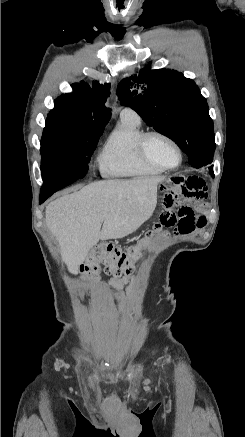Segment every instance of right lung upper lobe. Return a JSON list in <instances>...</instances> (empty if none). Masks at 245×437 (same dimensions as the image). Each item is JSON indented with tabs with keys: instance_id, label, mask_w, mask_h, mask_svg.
I'll list each match as a JSON object with an SVG mask.
<instances>
[{
	"instance_id": "1",
	"label": "right lung upper lobe",
	"mask_w": 245,
	"mask_h": 437,
	"mask_svg": "<svg viewBox=\"0 0 245 437\" xmlns=\"http://www.w3.org/2000/svg\"><path fill=\"white\" fill-rule=\"evenodd\" d=\"M72 88V93L54 100L51 112L79 122L105 126L111 117V112L103 104L109 96L110 85L93 81L91 87L81 81L72 84Z\"/></svg>"
}]
</instances>
